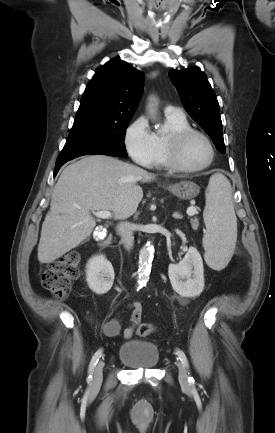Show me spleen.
I'll return each instance as SVG.
<instances>
[{
	"instance_id": "obj_1",
	"label": "spleen",
	"mask_w": 275,
	"mask_h": 433,
	"mask_svg": "<svg viewBox=\"0 0 275 433\" xmlns=\"http://www.w3.org/2000/svg\"><path fill=\"white\" fill-rule=\"evenodd\" d=\"M205 196L203 217L207 231L203 237L204 258L211 268L221 270L233 256L237 240V218L230 182L222 174L212 175Z\"/></svg>"
}]
</instances>
